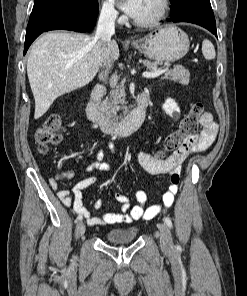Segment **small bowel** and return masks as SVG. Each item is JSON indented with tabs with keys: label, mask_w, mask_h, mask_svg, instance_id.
<instances>
[{
	"label": "small bowel",
	"mask_w": 247,
	"mask_h": 296,
	"mask_svg": "<svg viewBox=\"0 0 247 296\" xmlns=\"http://www.w3.org/2000/svg\"><path fill=\"white\" fill-rule=\"evenodd\" d=\"M201 132L199 135L189 136L184 139L183 144L178 151L165 159H157L148 153L139 155L140 165L151 175H168L171 179V185L163 194L162 203L144 207L147 202V195L143 190L136 191L137 205H131L130 199L117 192L115 198L119 203V212H106L100 216H92L83 205V191L94 185L98 181L96 175H89L86 178L78 181L70 190H57V196L64 206L72 208L79 216L85 217L89 225H113V224H128L140 219H150L157 214L165 211L172 206L175 195L178 191V185L172 182L174 175H180L181 165L184 160L194 152L206 150L214 141L217 133V124L210 112H204L200 118ZM94 168L102 171H110L111 167L103 160V153L99 151L97 161L87 167V171L91 172ZM75 173L73 170L64 172L66 179H72ZM52 188L56 189L57 184L52 180ZM95 209H100L103 206L101 200H96L93 204Z\"/></svg>",
	"instance_id": "small-bowel-1"
}]
</instances>
